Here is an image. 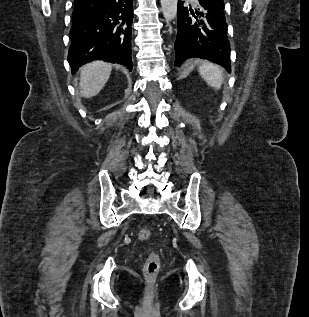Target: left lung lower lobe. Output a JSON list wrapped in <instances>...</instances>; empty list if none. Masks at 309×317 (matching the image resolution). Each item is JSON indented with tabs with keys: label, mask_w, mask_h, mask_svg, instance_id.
<instances>
[{
	"label": "left lung lower lobe",
	"mask_w": 309,
	"mask_h": 317,
	"mask_svg": "<svg viewBox=\"0 0 309 317\" xmlns=\"http://www.w3.org/2000/svg\"><path fill=\"white\" fill-rule=\"evenodd\" d=\"M195 9L178 2V32L175 41V66L190 57L210 60L231 71L230 43L224 2L197 0Z\"/></svg>",
	"instance_id": "obj_1"
}]
</instances>
